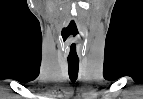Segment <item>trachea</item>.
<instances>
[{
  "instance_id": "trachea-1",
  "label": "trachea",
  "mask_w": 143,
  "mask_h": 99,
  "mask_svg": "<svg viewBox=\"0 0 143 99\" xmlns=\"http://www.w3.org/2000/svg\"><path fill=\"white\" fill-rule=\"evenodd\" d=\"M79 60H68L69 77L72 82H75L78 77Z\"/></svg>"
}]
</instances>
